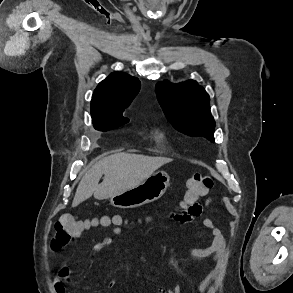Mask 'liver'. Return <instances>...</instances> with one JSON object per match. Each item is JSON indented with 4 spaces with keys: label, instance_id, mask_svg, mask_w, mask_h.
<instances>
[{
    "label": "liver",
    "instance_id": "6515ba94",
    "mask_svg": "<svg viewBox=\"0 0 293 293\" xmlns=\"http://www.w3.org/2000/svg\"><path fill=\"white\" fill-rule=\"evenodd\" d=\"M171 160L127 153H118L100 159L85 170L72 207L78 206L92 195L97 200H104L134 188ZM102 175L104 179L99 184Z\"/></svg>",
    "mask_w": 293,
    "mask_h": 293
}]
</instances>
